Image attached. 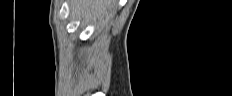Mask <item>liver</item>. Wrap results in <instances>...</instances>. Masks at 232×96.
Returning a JSON list of instances; mask_svg holds the SVG:
<instances>
[{
    "label": "liver",
    "mask_w": 232,
    "mask_h": 96,
    "mask_svg": "<svg viewBox=\"0 0 232 96\" xmlns=\"http://www.w3.org/2000/svg\"><path fill=\"white\" fill-rule=\"evenodd\" d=\"M114 0H72L71 10L79 18L93 21L108 18L112 12Z\"/></svg>",
    "instance_id": "1"
}]
</instances>
